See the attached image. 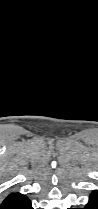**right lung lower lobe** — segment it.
Returning a JSON list of instances; mask_svg holds the SVG:
<instances>
[{
	"instance_id": "right-lung-lower-lobe-1",
	"label": "right lung lower lobe",
	"mask_w": 98,
	"mask_h": 209,
	"mask_svg": "<svg viewBox=\"0 0 98 209\" xmlns=\"http://www.w3.org/2000/svg\"><path fill=\"white\" fill-rule=\"evenodd\" d=\"M1 209H33L31 201L23 194L10 193L0 202Z\"/></svg>"
}]
</instances>
